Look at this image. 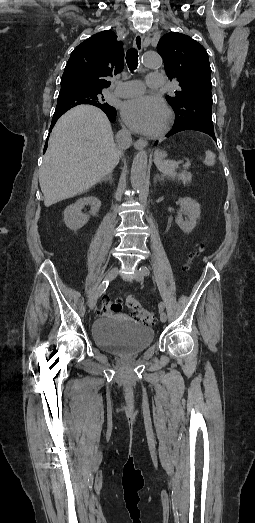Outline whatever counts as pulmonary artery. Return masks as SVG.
Masks as SVG:
<instances>
[{
	"label": "pulmonary artery",
	"instance_id": "e3ab8cb5",
	"mask_svg": "<svg viewBox=\"0 0 255 523\" xmlns=\"http://www.w3.org/2000/svg\"><path fill=\"white\" fill-rule=\"evenodd\" d=\"M164 77L160 72L155 71L146 79V84L149 85V88L153 92H157L163 88L161 82H163ZM145 88V84L139 80H133L124 82L121 84L114 93L119 97H130L133 96L134 99L139 100L142 97V92Z\"/></svg>",
	"mask_w": 255,
	"mask_h": 523
}]
</instances>
